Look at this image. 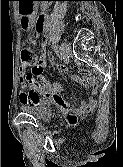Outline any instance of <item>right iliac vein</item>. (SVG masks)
I'll return each mask as SVG.
<instances>
[{
    "label": "right iliac vein",
    "instance_id": "obj_1",
    "mask_svg": "<svg viewBox=\"0 0 123 167\" xmlns=\"http://www.w3.org/2000/svg\"><path fill=\"white\" fill-rule=\"evenodd\" d=\"M68 50V45L67 43L63 42L60 47L61 54L64 55Z\"/></svg>",
    "mask_w": 123,
    "mask_h": 167
}]
</instances>
